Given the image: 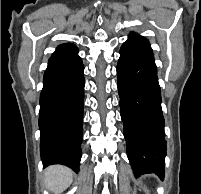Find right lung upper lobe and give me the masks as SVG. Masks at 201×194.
Returning <instances> with one entry per match:
<instances>
[{
    "instance_id": "right-lung-upper-lobe-1",
    "label": "right lung upper lobe",
    "mask_w": 201,
    "mask_h": 194,
    "mask_svg": "<svg viewBox=\"0 0 201 194\" xmlns=\"http://www.w3.org/2000/svg\"><path fill=\"white\" fill-rule=\"evenodd\" d=\"M75 58H79L77 47L72 43H66V44L59 45L56 48V51L52 54L48 63L68 61Z\"/></svg>"
}]
</instances>
